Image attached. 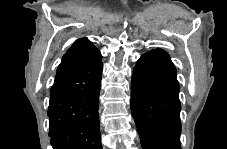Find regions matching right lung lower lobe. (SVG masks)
Returning <instances> with one entry per match:
<instances>
[{
	"mask_svg": "<svg viewBox=\"0 0 227 149\" xmlns=\"http://www.w3.org/2000/svg\"><path fill=\"white\" fill-rule=\"evenodd\" d=\"M101 57L56 74L48 107L53 149H101Z\"/></svg>",
	"mask_w": 227,
	"mask_h": 149,
	"instance_id": "obj_1",
	"label": "right lung lower lobe"
}]
</instances>
